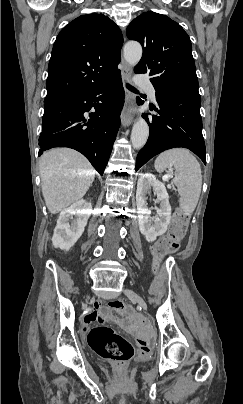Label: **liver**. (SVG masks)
Listing matches in <instances>:
<instances>
[{"instance_id":"obj_1","label":"liver","mask_w":243,"mask_h":404,"mask_svg":"<svg viewBox=\"0 0 243 404\" xmlns=\"http://www.w3.org/2000/svg\"><path fill=\"white\" fill-rule=\"evenodd\" d=\"M39 170L42 194L50 214H58L82 200L96 174L88 160L70 148L44 152Z\"/></svg>"}]
</instances>
